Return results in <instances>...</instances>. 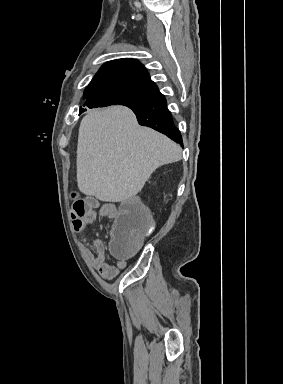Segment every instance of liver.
<instances>
[{
  "label": "liver",
  "mask_w": 283,
  "mask_h": 384,
  "mask_svg": "<svg viewBox=\"0 0 283 384\" xmlns=\"http://www.w3.org/2000/svg\"><path fill=\"white\" fill-rule=\"evenodd\" d=\"M181 158L178 144L139 126L129 108L89 110L78 134V188L101 202H124L141 192L159 166Z\"/></svg>",
  "instance_id": "obj_1"
}]
</instances>
